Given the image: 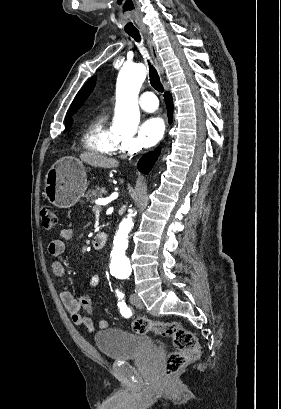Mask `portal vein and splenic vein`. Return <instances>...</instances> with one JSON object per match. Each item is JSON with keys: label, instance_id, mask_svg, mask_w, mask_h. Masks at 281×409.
<instances>
[{"label": "portal vein and splenic vein", "instance_id": "18ae733b", "mask_svg": "<svg viewBox=\"0 0 281 409\" xmlns=\"http://www.w3.org/2000/svg\"><path fill=\"white\" fill-rule=\"evenodd\" d=\"M100 205L98 204V203H95L94 205H93V207L91 208V211L94 213V215L96 216V217H99L100 215H101V212H100Z\"/></svg>", "mask_w": 281, "mask_h": 409}]
</instances>
